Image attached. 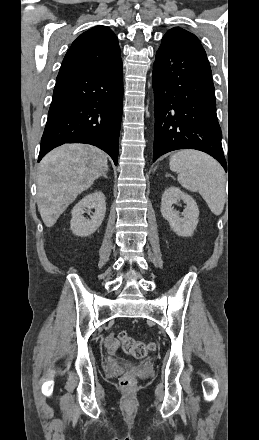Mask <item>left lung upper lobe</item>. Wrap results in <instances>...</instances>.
<instances>
[{"mask_svg":"<svg viewBox=\"0 0 259 440\" xmlns=\"http://www.w3.org/2000/svg\"><path fill=\"white\" fill-rule=\"evenodd\" d=\"M164 37H173V38H182V39H188L195 41L197 43H200L197 37H195L193 34H191L188 31H185L179 27L171 28Z\"/></svg>","mask_w":259,"mask_h":440,"instance_id":"1","label":"left lung upper lobe"}]
</instances>
